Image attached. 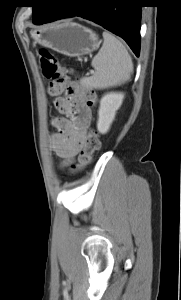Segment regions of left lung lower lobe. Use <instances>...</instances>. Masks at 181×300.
I'll use <instances>...</instances> for the list:
<instances>
[{
	"mask_svg": "<svg viewBox=\"0 0 181 300\" xmlns=\"http://www.w3.org/2000/svg\"><path fill=\"white\" fill-rule=\"evenodd\" d=\"M74 16L93 21L120 36L135 55L139 56L141 25L139 0H60L44 23Z\"/></svg>",
	"mask_w": 181,
	"mask_h": 300,
	"instance_id": "left-lung-lower-lobe-1",
	"label": "left lung lower lobe"
}]
</instances>
